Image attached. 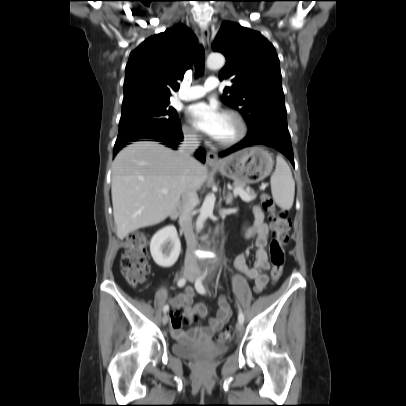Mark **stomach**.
<instances>
[{
	"mask_svg": "<svg viewBox=\"0 0 406 406\" xmlns=\"http://www.w3.org/2000/svg\"><path fill=\"white\" fill-rule=\"evenodd\" d=\"M273 165L274 161L268 151L253 146L229 155L214 168L234 180L235 184L246 185L262 181L270 174Z\"/></svg>",
	"mask_w": 406,
	"mask_h": 406,
	"instance_id": "1",
	"label": "stomach"
}]
</instances>
